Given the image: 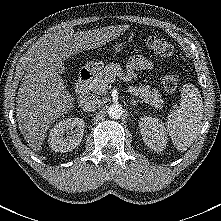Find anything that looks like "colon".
Instances as JSON below:
<instances>
[{"label": "colon", "instance_id": "obj_1", "mask_svg": "<svg viewBox=\"0 0 221 221\" xmlns=\"http://www.w3.org/2000/svg\"><path fill=\"white\" fill-rule=\"evenodd\" d=\"M145 45L149 51L163 59H170L174 55L173 46L164 38L149 35L145 38ZM163 88L172 93L178 87V77L175 74H167L162 79Z\"/></svg>", "mask_w": 221, "mask_h": 221}]
</instances>
